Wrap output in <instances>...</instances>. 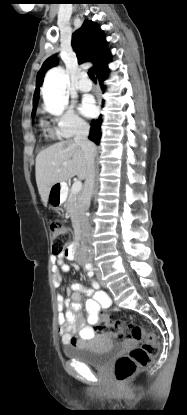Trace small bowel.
Segmentation results:
<instances>
[{
  "label": "small bowel",
  "mask_w": 187,
  "mask_h": 415,
  "mask_svg": "<svg viewBox=\"0 0 187 415\" xmlns=\"http://www.w3.org/2000/svg\"><path fill=\"white\" fill-rule=\"evenodd\" d=\"M67 254L53 257V274L55 285H60V272H69L70 266L65 262ZM97 288H87L83 284L72 283L68 289L69 299L58 295L57 308L59 311V334L64 345H77L91 351H102L112 342L107 334L97 333L94 329L100 319L99 311L110 305V298ZM90 298L85 302L87 320L81 315L82 295Z\"/></svg>",
  "instance_id": "1"
}]
</instances>
